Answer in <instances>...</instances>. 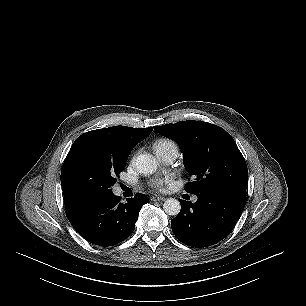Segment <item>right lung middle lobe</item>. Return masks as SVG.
Masks as SVG:
<instances>
[{"mask_svg": "<svg viewBox=\"0 0 306 306\" xmlns=\"http://www.w3.org/2000/svg\"><path fill=\"white\" fill-rule=\"evenodd\" d=\"M130 151L92 147L79 143L71 147L62 167L63 193L78 202L113 194L111 187L125 167Z\"/></svg>", "mask_w": 306, "mask_h": 306, "instance_id": "1", "label": "right lung middle lobe"}]
</instances>
